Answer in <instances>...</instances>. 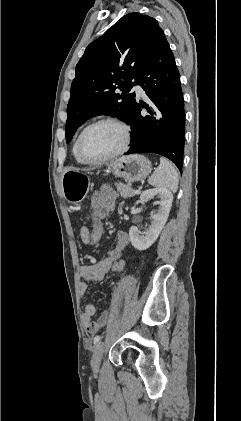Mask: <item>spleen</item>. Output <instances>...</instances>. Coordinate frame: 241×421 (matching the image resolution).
<instances>
[{"label":"spleen","mask_w":241,"mask_h":421,"mask_svg":"<svg viewBox=\"0 0 241 421\" xmlns=\"http://www.w3.org/2000/svg\"><path fill=\"white\" fill-rule=\"evenodd\" d=\"M148 183L155 187L169 188L175 193L178 190V173L167 159L161 157L160 165L149 177Z\"/></svg>","instance_id":"1"}]
</instances>
